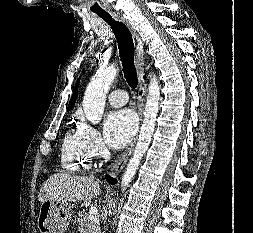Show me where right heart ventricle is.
<instances>
[{"mask_svg":"<svg viewBox=\"0 0 253 233\" xmlns=\"http://www.w3.org/2000/svg\"><path fill=\"white\" fill-rule=\"evenodd\" d=\"M92 154L80 128L69 130L60 151L61 166L69 172H81L91 165Z\"/></svg>","mask_w":253,"mask_h":233,"instance_id":"obj_1","label":"right heart ventricle"}]
</instances>
